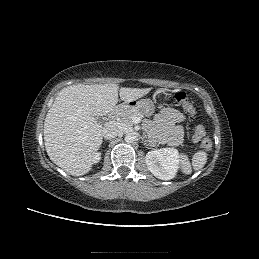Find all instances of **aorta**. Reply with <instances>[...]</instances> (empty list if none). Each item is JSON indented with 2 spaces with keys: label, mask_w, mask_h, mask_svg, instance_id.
Here are the masks:
<instances>
[{
  "label": "aorta",
  "mask_w": 259,
  "mask_h": 259,
  "mask_svg": "<svg viewBox=\"0 0 259 259\" xmlns=\"http://www.w3.org/2000/svg\"><path fill=\"white\" fill-rule=\"evenodd\" d=\"M135 141V135L133 133H127L125 135V142L126 143H133Z\"/></svg>",
  "instance_id": "obj_1"
}]
</instances>
